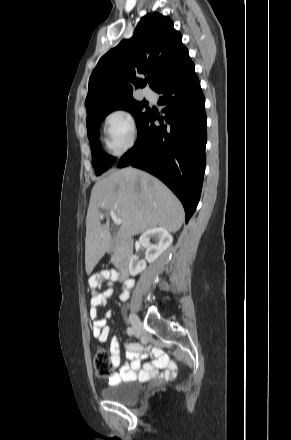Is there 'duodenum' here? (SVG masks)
Here are the masks:
<instances>
[{
	"mask_svg": "<svg viewBox=\"0 0 291 440\" xmlns=\"http://www.w3.org/2000/svg\"><path fill=\"white\" fill-rule=\"evenodd\" d=\"M109 241L116 242L120 245V252L117 259L118 270L122 273L126 282L129 281L128 276L132 265V259L134 254V242L127 237H121L117 235H109Z\"/></svg>",
	"mask_w": 291,
	"mask_h": 440,
	"instance_id": "410a0bca",
	"label": "duodenum"
}]
</instances>
